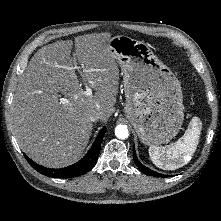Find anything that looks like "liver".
Segmentation results:
<instances>
[{"label": "liver", "instance_id": "obj_1", "mask_svg": "<svg viewBox=\"0 0 221 221\" xmlns=\"http://www.w3.org/2000/svg\"><path fill=\"white\" fill-rule=\"evenodd\" d=\"M110 33L75 38L79 73L96 91H83L70 57L73 41H57L39 49L21 74L13 97L12 131L20 148L35 162L50 168L75 163L93 129L91 111L105 122L116 103L119 70L108 42ZM60 93L69 103H60Z\"/></svg>", "mask_w": 221, "mask_h": 221}]
</instances>
